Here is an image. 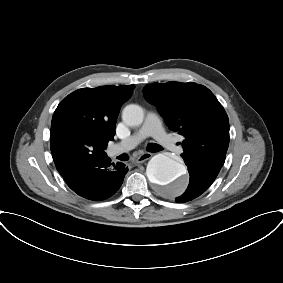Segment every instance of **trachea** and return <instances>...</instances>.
<instances>
[{
	"label": "trachea",
	"instance_id": "1",
	"mask_svg": "<svg viewBox=\"0 0 283 283\" xmlns=\"http://www.w3.org/2000/svg\"><path fill=\"white\" fill-rule=\"evenodd\" d=\"M147 150L149 152H158V151H161L162 150V147L158 144H155V143H150L147 147Z\"/></svg>",
	"mask_w": 283,
	"mask_h": 283
}]
</instances>
